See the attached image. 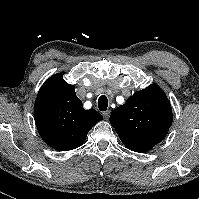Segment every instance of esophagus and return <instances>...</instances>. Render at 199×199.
Segmentation results:
<instances>
[{
	"instance_id": "1",
	"label": "esophagus",
	"mask_w": 199,
	"mask_h": 199,
	"mask_svg": "<svg viewBox=\"0 0 199 199\" xmlns=\"http://www.w3.org/2000/svg\"><path fill=\"white\" fill-rule=\"evenodd\" d=\"M109 115H110V111L109 110H106V111L103 112V116H104L105 119H108Z\"/></svg>"
}]
</instances>
